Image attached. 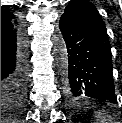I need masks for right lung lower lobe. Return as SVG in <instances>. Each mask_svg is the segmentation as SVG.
<instances>
[{
  "label": "right lung lower lobe",
  "mask_w": 122,
  "mask_h": 123,
  "mask_svg": "<svg viewBox=\"0 0 122 123\" xmlns=\"http://www.w3.org/2000/svg\"><path fill=\"white\" fill-rule=\"evenodd\" d=\"M26 43L17 23H1V97L23 98L27 83Z\"/></svg>",
  "instance_id": "98d812e1"
}]
</instances>
